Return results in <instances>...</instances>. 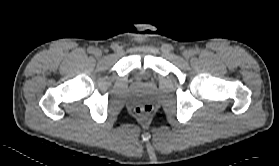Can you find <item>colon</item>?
Here are the masks:
<instances>
[{
    "mask_svg": "<svg viewBox=\"0 0 279 166\" xmlns=\"http://www.w3.org/2000/svg\"><path fill=\"white\" fill-rule=\"evenodd\" d=\"M152 106L150 104H141L135 108V113L137 116L144 118L152 113Z\"/></svg>",
    "mask_w": 279,
    "mask_h": 166,
    "instance_id": "1",
    "label": "colon"
}]
</instances>
